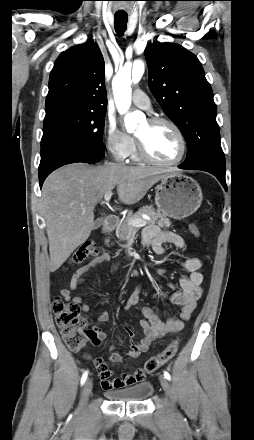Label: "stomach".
<instances>
[{
	"mask_svg": "<svg viewBox=\"0 0 254 440\" xmlns=\"http://www.w3.org/2000/svg\"><path fill=\"white\" fill-rule=\"evenodd\" d=\"M199 184L179 172H169L156 187L155 203L165 216L181 220L195 213L202 202Z\"/></svg>",
	"mask_w": 254,
	"mask_h": 440,
	"instance_id": "0dacf381",
	"label": "stomach"
}]
</instances>
